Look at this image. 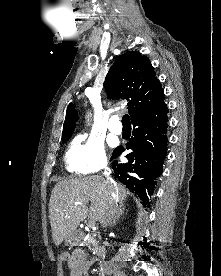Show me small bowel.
Instances as JSON below:
<instances>
[{
  "label": "small bowel",
  "mask_w": 221,
  "mask_h": 276,
  "mask_svg": "<svg viewBox=\"0 0 221 276\" xmlns=\"http://www.w3.org/2000/svg\"><path fill=\"white\" fill-rule=\"evenodd\" d=\"M92 263L93 261L87 259L83 250H74L67 263L70 276H87L88 269Z\"/></svg>",
  "instance_id": "small-bowel-1"
}]
</instances>
